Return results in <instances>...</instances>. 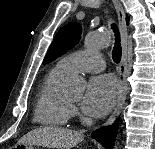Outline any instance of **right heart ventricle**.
Here are the masks:
<instances>
[{"label":"right heart ventricle","mask_w":155,"mask_h":149,"mask_svg":"<svg viewBox=\"0 0 155 149\" xmlns=\"http://www.w3.org/2000/svg\"><path fill=\"white\" fill-rule=\"evenodd\" d=\"M68 74L56 65L44 78L34 110V121L48 127H63L72 117V106L60 92L61 81Z\"/></svg>","instance_id":"obj_1"}]
</instances>
